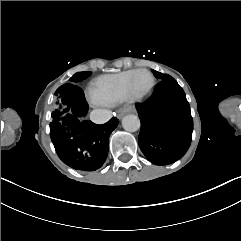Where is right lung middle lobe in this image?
<instances>
[{
    "label": "right lung middle lobe",
    "instance_id": "obj_1",
    "mask_svg": "<svg viewBox=\"0 0 241 241\" xmlns=\"http://www.w3.org/2000/svg\"><path fill=\"white\" fill-rule=\"evenodd\" d=\"M91 75V72L84 71L78 72L74 74L70 78V83L64 84L60 86L55 94L52 101V119H56L62 116H65L70 112V104H69V85L76 84L77 82H81Z\"/></svg>",
    "mask_w": 241,
    "mask_h": 241
}]
</instances>
